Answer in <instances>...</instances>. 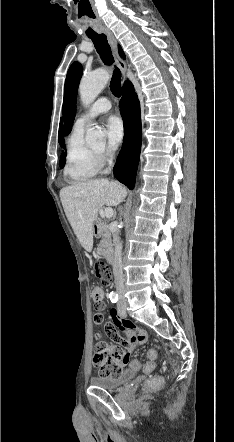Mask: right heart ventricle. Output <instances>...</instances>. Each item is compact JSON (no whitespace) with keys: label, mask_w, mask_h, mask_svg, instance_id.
I'll use <instances>...</instances> for the list:
<instances>
[{"label":"right heart ventricle","mask_w":234,"mask_h":442,"mask_svg":"<svg viewBox=\"0 0 234 442\" xmlns=\"http://www.w3.org/2000/svg\"><path fill=\"white\" fill-rule=\"evenodd\" d=\"M93 150L84 141V130L74 127L67 142L64 175L72 183L93 179L99 172Z\"/></svg>","instance_id":"right-heart-ventricle-1"}]
</instances>
